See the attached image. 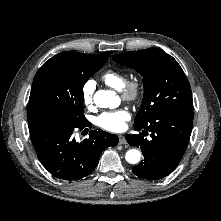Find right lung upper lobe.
Wrapping results in <instances>:
<instances>
[{"label":"right lung upper lobe","mask_w":221,"mask_h":221,"mask_svg":"<svg viewBox=\"0 0 221 221\" xmlns=\"http://www.w3.org/2000/svg\"><path fill=\"white\" fill-rule=\"evenodd\" d=\"M112 54L111 51H108V52H105L103 54H100V55H95L97 58L99 59H103V60H108V58L110 57V55Z\"/></svg>","instance_id":"obj_1"}]
</instances>
